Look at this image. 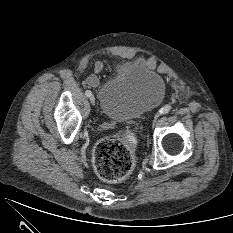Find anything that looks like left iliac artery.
Returning <instances> with one entry per match:
<instances>
[{
	"mask_svg": "<svg viewBox=\"0 0 233 233\" xmlns=\"http://www.w3.org/2000/svg\"><path fill=\"white\" fill-rule=\"evenodd\" d=\"M170 111V106L166 105L159 110L161 115L167 114Z\"/></svg>",
	"mask_w": 233,
	"mask_h": 233,
	"instance_id": "1",
	"label": "left iliac artery"
}]
</instances>
